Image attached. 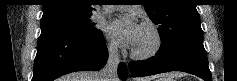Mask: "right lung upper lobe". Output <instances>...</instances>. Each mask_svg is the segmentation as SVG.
Returning a JSON list of instances; mask_svg holds the SVG:
<instances>
[{"label":"right lung upper lobe","instance_id":"right-lung-upper-lobe-1","mask_svg":"<svg viewBox=\"0 0 237 81\" xmlns=\"http://www.w3.org/2000/svg\"><path fill=\"white\" fill-rule=\"evenodd\" d=\"M94 0H45L42 19L57 16L92 15Z\"/></svg>","mask_w":237,"mask_h":81}]
</instances>
